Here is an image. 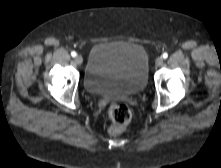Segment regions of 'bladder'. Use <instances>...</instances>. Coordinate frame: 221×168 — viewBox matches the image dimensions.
Listing matches in <instances>:
<instances>
[{
  "instance_id": "1",
  "label": "bladder",
  "mask_w": 221,
  "mask_h": 168,
  "mask_svg": "<svg viewBox=\"0 0 221 168\" xmlns=\"http://www.w3.org/2000/svg\"><path fill=\"white\" fill-rule=\"evenodd\" d=\"M149 58L143 46L129 42H106L92 47L84 86L92 94L125 98L144 90Z\"/></svg>"
}]
</instances>
